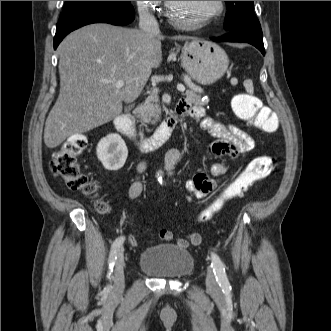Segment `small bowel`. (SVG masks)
<instances>
[{"label":"small bowel","instance_id":"c3829d8e","mask_svg":"<svg viewBox=\"0 0 331 331\" xmlns=\"http://www.w3.org/2000/svg\"><path fill=\"white\" fill-rule=\"evenodd\" d=\"M177 108L183 113L188 114L191 118L198 121L203 130L208 131L215 140L209 145L208 153L214 157L228 156L232 161H237L254 147L252 137L233 125H224L205 116L204 109L194 105L188 100H181ZM181 159L180 150L173 148L167 151L165 155V168L168 173L172 174L175 166ZM146 170V164L140 163L137 167L138 174ZM228 167L223 163H214L211 165L209 173L197 171L190 179L185 182V187L191 196L195 198H206L217 187V179L225 175ZM143 185L139 177L132 182L128 195L134 200L142 192ZM190 198V197H189ZM171 233L163 230L159 233L157 240L165 243L171 240ZM132 247H137L139 240L136 236L131 235L129 239ZM189 242L185 239H179L177 245L187 247Z\"/></svg>","mask_w":331,"mask_h":331}]
</instances>
